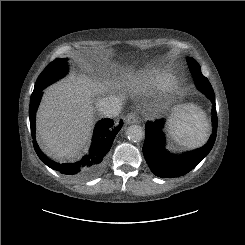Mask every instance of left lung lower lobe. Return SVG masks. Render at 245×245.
<instances>
[{"instance_id":"0a47b994","label":"left lung lower lobe","mask_w":245,"mask_h":245,"mask_svg":"<svg viewBox=\"0 0 245 245\" xmlns=\"http://www.w3.org/2000/svg\"><path fill=\"white\" fill-rule=\"evenodd\" d=\"M202 91V90H201ZM213 103L212 125L213 132L206 145L202 148L184 153L172 155L165 149L164 135L161 129L164 128V119L154 122H147L145 125V141L143 154L150 170L158 177L171 178L185 175L197 166L212 149L217 132V113L215 107V94L213 88L203 90Z\"/></svg>"}]
</instances>
